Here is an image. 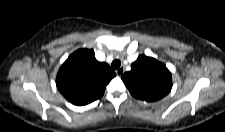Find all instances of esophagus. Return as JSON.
<instances>
[{"mask_svg": "<svg viewBox=\"0 0 225 132\" xmlns=\"http://www.w3.org/2000/svg\"><path fill=\"white\" fill-rule=\"evenodd\" d=\"M125 69L124 67H120L116 70L117 76H121L124 73Z\"/></svg>", "mask_w": 225, "mask_h": 132, "instance_id": "1", "label": "esophagus"}]
</instances>
